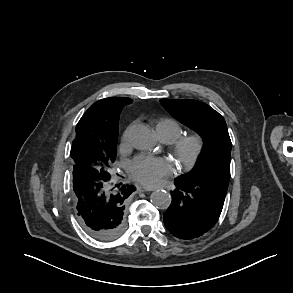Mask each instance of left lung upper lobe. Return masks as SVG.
Returning a JSON list of instances; mask_svg holds the SVG:
<instances>
[{
  "instance_id": "left-lung-upper-lobe-1",
  "label": "left lung upper lobe",
  "mask_w": 293,
  "mask_h": 293,
  "mask_svg": "<svg viewBox=\"0 0 293 293\" xmlns=\"http://www.w3.org/2000/svg\"><path fill=\"white\" fill-rule=\"evenodd\" d=\"M162 106L177 120L195 130L205 144L202 161L196 169L179 176L203 184L228 187L231 140L224 118L209 105L191 99H162Z\"/></svg>"
}]
</instances>
